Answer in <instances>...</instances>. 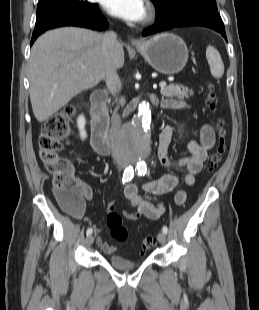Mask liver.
Returning <instances> with one entry per match:
<instances>
[{
    "label": "liver",
    "mask_w": 259,
    "mask_h": 310,
    "mask_svg": "<svg viewBox=\"0 0 259 310\" xmlns=\"http://www.w3.org/2000/svg\"><path fill=\"white\" fill-rule=\"evenodd\" d=\"M111 64L116 69L124 65L121 43L112 53ZM105 75L102 34L76 27L44 33L32 47L28 67L36 119L46 121L77 94L98 85Z\"/></svg>",
    "instance_id": "6515ba94"
}]
</instances>
